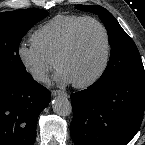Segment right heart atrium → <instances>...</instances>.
Wrapping results in <instances>:
<instances>
[{
    "label": "right heart atrium",
    "mask_w": 145,
    "mask_h": 145,
    "mask_svg": "<svg viewBox=\"0 0 145 145\" xmlns=\"http://www.w3.org/2000/svg\"><path fill=\"white\" fill-rule=\"evenodd\" d=\"M17 55L25 71L38 82H45L55 67L54 61L47 58L33 43L20 44Z\"/></svg>",
    "instance_id": "d8ad5b80"
}]
</instances>
